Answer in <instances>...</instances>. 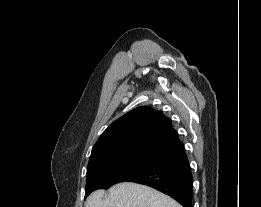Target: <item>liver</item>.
<instances>
[{
	"label": "liver",
	"instance_id": "6515ba94",
	"mask_svg": "<svg viewBox=\"0 0 261 207\" xmlns=\"http://www.w3.org/2000/svg\"><path fill=\"white\" fill-rule=\"evenodd\" d=\"M85 207H182L169 196L145 185L122 182L89 195Z\"/></svg>",
	"mask_w": 261,
	"mask_h": 207
}]
</instances>
